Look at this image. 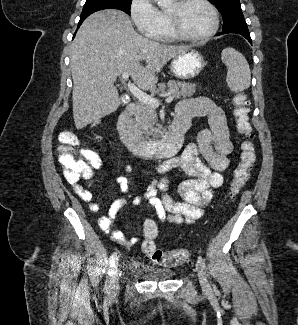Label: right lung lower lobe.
Masks as SVG:
<instances>
[{"label":"right lung lower lobe","instance_id":"1","mask_svg":"<svg viewBox=\"0 0 298 325\" xmlns=\"http://www.w3.org/2000/svg\"><path fill=\"white\" fill-rule=\"evenodd\" d=\"M83 22V20H80L79 23H78V28L79 26L81 25V23Z\"/></svg>","mask_w":298,"mask_h":325}]
</instances>
